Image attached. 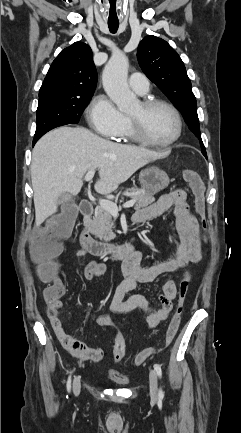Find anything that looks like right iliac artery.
Masks as SVG:
<instances>
[{
	"label": "right iliac artery",
	"instance_id": "1",
	"mask_svg": "<svg viewBox=\"0 0 241 433\" xmlns=\"http://www.w3.org/2000/svg\"><path fill=\"white\" fill-rule=\"evenodd\" d=\"M66 386H67V391L70 392V390H71V376H69Z\"/></svg>",
	"mask_w": 241,
	"mask_h": 433
}]
</instances>
